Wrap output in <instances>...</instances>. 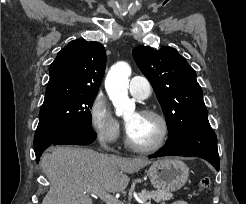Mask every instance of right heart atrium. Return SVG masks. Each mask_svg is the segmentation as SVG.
<instances>
[{"instance_id": "right-heart-atrium-1", "label": "right heart atrium", "mask_w": 246, "mask_h": 204, "mask_svg": "<svg viewBox=\"0 0 246 204\" xmlns=\"http://www.w3.org/2000/svg\"><path fill=\"white\" fill-rule=\"evenodd\" d=\"M90 123L97 139L101 143H114L120 136V123L101 96H96L92 102L90 107Z\"/></svg>"}]
</instances>
